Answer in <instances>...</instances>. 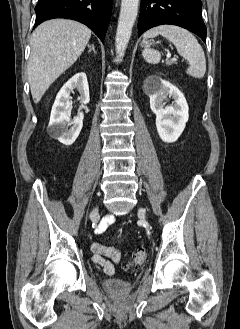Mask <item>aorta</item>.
<instances>
[{
  "mask_svg": "<svg viewBox=\"0 0 240 329\" xmlns=\"http://www.w3.org/2000/svg\"><path fill=\"white\" fill-rule=\"evenodd\" d=\"M139 0H122L117 25L115 50L118 56H123L129 43L132 28L138 13Z\"/></svg>",
  "mask_w": 240,
  "mask_h": 329,
  "instance_id": "obj_1",
  "label": "aorta"
}]
</instances>
